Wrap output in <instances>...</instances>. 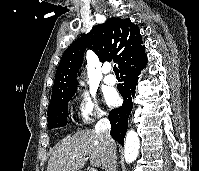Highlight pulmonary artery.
I'll return each mask as SVG.
<instances>
[{"mask_svg":"<svg viewBox=\"0 0 199 171\" xmlns=\"http://www.w3.org/2000/svg\"><path fill=\"white\" fill-rule=\"evenodd\" d=\"M102 72H103V82L107 85H114L116 83V78L114 77V75H112L111 72V67L110 65H105L102 68Z\"/></svg>","mask_w":199,"mask_h":171,"instance_id":"e3ab8cb5","label":"pulmonary artery"}]
</instances>
